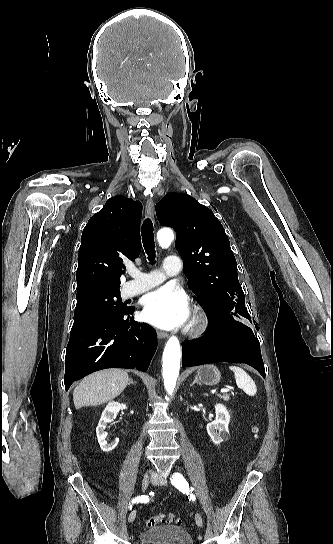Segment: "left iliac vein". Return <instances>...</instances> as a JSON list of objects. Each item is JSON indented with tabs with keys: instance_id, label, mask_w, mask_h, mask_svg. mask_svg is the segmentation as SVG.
I'll return each mask as SVG.
<instances>
[{
	"instance_id": "left-iliac-vein-1",
	"label": "left iliac vein",
	"mask_w": 333,
	"mask_h": 544,
	"mask_svg": "<svg viewBox=\"0 0 333 544\" xmlns=\"http://www.w3.org/2000/svg\"><path fill=\"white\" fill-rule=\"evenodd\" d=\"M152 483L155 484V485H166L167 484V480L163 477H159V476H156L154 475L153 478H152ZM195 522L197 524V526L199 527H202L203 525V521H202V517L199 513H196L195 515Z\"/></svg>"
}]
</instances>
